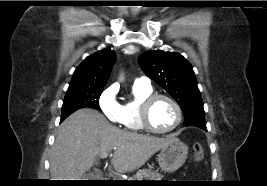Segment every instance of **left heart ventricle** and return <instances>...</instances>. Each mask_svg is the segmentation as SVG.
<instances>
[{
	"mask_svg": "<svg viewBox=\"0 0 267 186\" xmlns=\"http://www.w3.org/2000/svg\"><path fill=\"white\" fill-rule=\"evenodd\" d=\"M174 106L166 99L156 100L150 111V121L157 129L170 128L176 121Z\"/></svg>",
	"mask_w": 267,
	"mask_h": 186,
	"instance_id": "left-heart-ventricle-1",
	"label": "left heart ventricle"
}]
</instances>
